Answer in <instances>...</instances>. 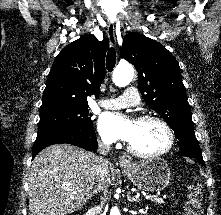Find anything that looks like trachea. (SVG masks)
<instances>
[{"mask_svg":"<svg viewBox=\"0 0 221 215\" xmlns=\"http://www.w3.org/2000/svg\"><path fill=\"white\" fill-rule=\"evenodd\" d=\"M116 63V52L113 47H111L106 56V67L109 72H111Z\"/></svg>","mask_w":221,"mask_h":215,"instance_id":"trachea-1","label":"trachea"}]
</instances>
